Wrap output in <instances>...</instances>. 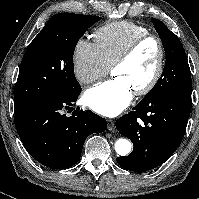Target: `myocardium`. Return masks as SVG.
Instances as JSON below:
<instances>
[{
    "mask_svg": "<svg viewBox=\"0 0 199 199\" xmlns=\"http://www.w3.org/2000/svg\"><path fill=\"white\" fill-rule=\"evenodd\" d=\"M147 41H154L158 48V61L153 75L150 80L142 87L135 89L133 92L137 96H143L150 93L159 82L165 65V48L162 40L155 34L148 33L133 40L129 46L121 53L111 66L113 72L116 68L124 65L138 50V48Z\"/></svg>",
    "mask_w": 199,
    "mask_h": 199,
    "instance_id": "1",
    "label": "myocardium"
}]
</instances>
